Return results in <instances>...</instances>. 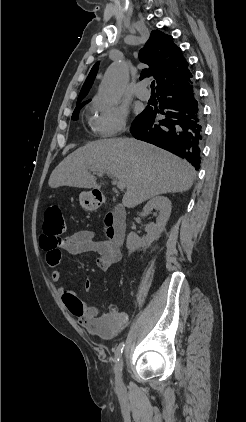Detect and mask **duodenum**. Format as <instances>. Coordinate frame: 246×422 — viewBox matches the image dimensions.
Returning a JSON list of instances; mask_svg holds the SVG:
<instances>
[{
  "label": "duodenum",
  "mask_w": 246,
  "mask_h": 422,
  "mask_svg": "<svg viewBox=\"0 0 246 422\" xmlns=\"http://www.w3.org/2000/svg\"><path fill=\"white\" fill-rule=\"evenodd\" d=\"M100 202L101 198H97ZM105 225L107 236L116 245H121L125 239L126 234V210L117 204L105 217Z\"/></svg>",
  "instance_id": "obj_1"
}]
</instances>
